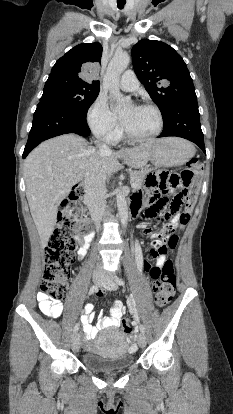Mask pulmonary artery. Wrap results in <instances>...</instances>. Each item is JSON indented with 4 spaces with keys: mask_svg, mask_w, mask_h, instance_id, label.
<instances>
[{
    "mask_svg": "<svg viewBox=\"0 0 233 414\" xmlns=\"http://www.w3.org/2000/svg\"><path fill=\"white\" fill-rule=\"evenodd\" d=\"M119 86L125 91H135L139 87V81L132 70H127L120 78Z\"/></svg>",
    "mask_w": 233,
    "mask_h": 414,
    "instance_id": "e3ab8cb5",
    "label": "pulmonary artery"
}]
</instances>
